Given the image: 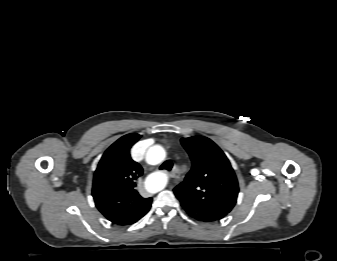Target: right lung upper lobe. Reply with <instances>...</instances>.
<instances>
[{
  "label": "right lung upper lobe",
  "instance_id": "cb5924a9",
  "mask_svg": "<svg viewBox=\"0 0 337 261\" xmlns=\"http://www.w3.org/2000/svg\"><path fill=\"white\" fill-rule=\"evenodd\" d=\"M140 137L131 133L113 143L94 174L92 195L96 207L118 225L137 222L151 207L152 198H143L136 189L142 167L130 157V148Z\"/></svg>",
  "mask_w": 337,
  "mask_h": 261
}]
</instances>
